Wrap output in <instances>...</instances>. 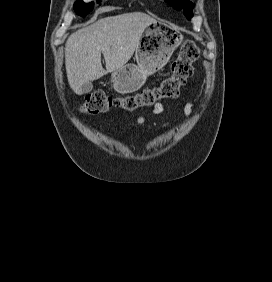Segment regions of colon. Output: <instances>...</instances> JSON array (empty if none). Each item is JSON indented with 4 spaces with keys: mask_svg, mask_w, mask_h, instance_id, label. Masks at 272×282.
Wrapping results in <instances>:
<instances>
[{
    "mask_svg": "<svg viewBox=\"0 0 272 282\" xmlns=\"http://www.w3.org/2000/svg\"><path fill=\"white\" fill-rule=\"evenodd\" d=\"M199 57V49L189 40L184 41L177 57L173 60L169 74L156 86L145 89L133 96L112 97L106 90L88 95L80 106L86 115H97L112 108L127 112L154 107L161 101L178 96L179 89L192 76V64Z\"/></svg>",
    "mask_w": 272,
    "mask_h": 282,
    "instance_id": "colon-1",
    "label": "colon"
}]
</instances>
